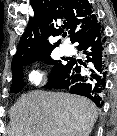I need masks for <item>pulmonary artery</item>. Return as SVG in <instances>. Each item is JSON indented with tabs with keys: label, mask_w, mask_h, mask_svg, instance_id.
<instances>
[{
	"label": "pulmonary artery",
	"mask_w": 117,
	"mask_h": 136,
	"mask_svg": "<svg viewBox=\"0 0 117 136\" xmlns=\"http://www.w3.org/2000/svg\"><path fill=\"white\" fill-rule=\"evenodd\" d=\"M61 52H62L63 54H70V53H72V49H71L70 47H63V48L61 49Z\"/></svg>",
	"instance_id": "pulmonary-artery-1"
}]
</instances>
